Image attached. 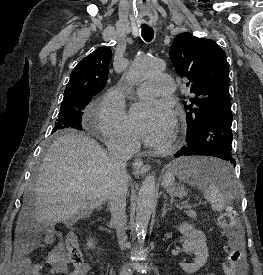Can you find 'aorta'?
Masks as SVG:
<instances>
[{"label":"aorta","instance_id":"aorta-1","mask_svg":"<svg viewBox=\"0 0 263 275\" xmlns=\"http://www.w3.org/2000/svg\"><path fill=\"white\" fill-rule=\"evenodd\" d=\"M164 62L151 57H140L135 59L125 79L130 86H136L145 79L161 72L164 69ZM156 200V180L153 174H149L142 182L139 190L136 207V234L139 246H143L147 227L154 209Z\"/></svg>","mask_w":263,"mask_h":275}]
</instances>
